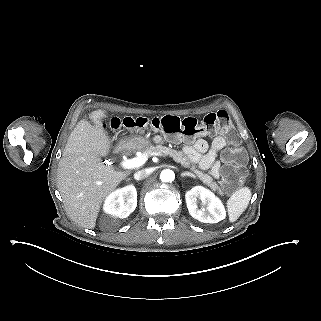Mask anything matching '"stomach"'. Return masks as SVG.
Segmentation results:
<instances>
[{
    "label": "stomach",
    "instance_id": "0dacf381",
    "mask_svg": "<svg viewBox=\"0 0 321 321\" xmlns=\"http://www.w3.org/2000/svg\"><path fill=\"white\" fill-rule=\"evenodd\" d=\"M152 144L151 139L142 134H133L129 137H123L118 142V149H126V147L131 146L133 148H146Z\"/></svg>",
    "mask_w": 321,
    "mask_h": 321
}]
</instances>
